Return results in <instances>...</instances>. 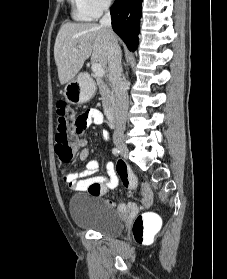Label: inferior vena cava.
I'll return each mask as SVG.
<instances>
[{
  "label": "inferior vena cava",
  "instance_id": "1",
  "mask_svg": "<svg viewBox=\"0 0 227 279\" xmlns=\"http://www.w3.org/2000/svg\"><path fill=\"white\" fill-rule=\"evenodd\" d=\"M105 14L100 19L101 27L109 32L108 40V67L109 76L115 90V130L114 136L122 135L125 129L127 111H128V94L127 85L122 80L121 49L113 36L111 29V16L109 13V3H104Z\"/></svg>",
  "mask_w": 227,
  "mask_h": 279
}]
</instances>
